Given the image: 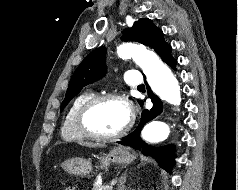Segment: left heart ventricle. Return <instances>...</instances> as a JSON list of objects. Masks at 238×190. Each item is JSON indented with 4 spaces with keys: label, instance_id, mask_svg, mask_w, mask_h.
I'll use <instances>...</instances> for the list:
<instances>
[{
    "label": "left heart ventricle",
    "instance_id": "obj_1",
    "mask_svg": "<svg viewBox=\"0 0 238 190\" xmlns=\"http://www.w3.org/2000/svg\"><path fill=\"white\" fill-rule=\"evenodd\" d=\"M127 107L120 101L108 100L96 106L88 115V125L102 134H113L122 129L128 121Z\"/></svg>",
    "mask_w": 238,
    "mask_h": 190
}]
</instances>
